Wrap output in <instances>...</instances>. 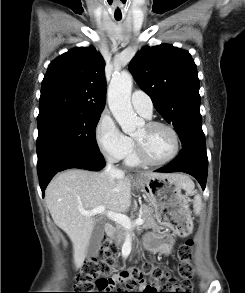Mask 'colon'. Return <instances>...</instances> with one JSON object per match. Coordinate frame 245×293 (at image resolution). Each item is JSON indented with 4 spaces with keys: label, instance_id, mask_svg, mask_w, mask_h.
<instances>
[{
    "label": "colon",
    "instance_id": "obj_1",
    "mask_svg": "<svg viewBox=\"0 0 245 293\" xmlns=\"http://www.w3.org/2000/svg\"><path fill=\"white\" fill-rule=\"evenodd\" d=\"M191 226V218L187 215L175 223L173 231L178 235H185L190 231ZM177 256L181 281L168 279V270L151 261H145L139 266L130 267L118 273L119 261L116 258V246L109 238L104 237L101 240L99 258L83 265L76 282L82 291L80 293H118L111 292L118 283H122L128 289H141L142 293H155L161 285L163 290L168 292L160 293H192L193 242L187 241L181 245ZM94 290L99 292H91Z\"/></svg>",
    "mask_w": 245,
    "mask_h": 293
}]
</instances>
